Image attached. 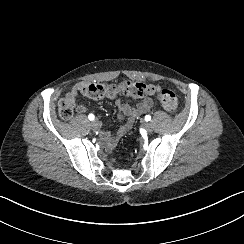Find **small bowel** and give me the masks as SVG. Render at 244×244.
Returning <instances> with one entry per match:
<instances>
[{
    "label": "small bowel",
    "mask_w": 244,
    "mask_h": 244,
    "mask_svg": "<svg viewBox=\"0 0 244 244\" xmlns=\"http://www.w3.org/2000/svg\"><path fill=\"white\" fill-rule=\"evenodd\" d=\"M83 84L76 83L71 90L66 94L65 100L72 106L76 108L78 114L83 115L87 112V108L84 105H76V99L81 92ZM153 105L151 99L146 98L138 102L135 105H131L126 100L118 98L115 100V106L119 112V116L125 122L117 131V136H124L133 126L134 119L146 112H148ZM112 140H110L111 142Z\"/></svg>",
    "instance_id": "c3829d8e"
}]
</instances>
